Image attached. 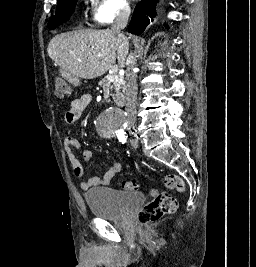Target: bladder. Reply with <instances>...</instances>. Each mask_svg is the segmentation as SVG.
Wrapping results in <instances>:
<instances>
[{
	"mask_svg": "<svg viewBox=\"0 0 256 267\" xmlns=\"http://www.w3.org/2000/svg\"><path fill=\"white\" fill-rule=\"evenodd\" d=\"M85 197L91 214L103 219L122 218L145 203L144 195H123L120 190L110 188L92 189Z\"/></svg>",
	"mask_w": 256,
	"mask_h": 267,
	"instance_id": "obj_1",
	"label": "bladder"
}]
</instances>
